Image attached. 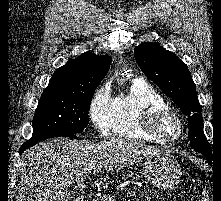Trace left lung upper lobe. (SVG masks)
Masks as SVG:
<instances>
[{"label": "left lung upper lobe", "mask_w": 221, "mask_h": 201, "mask_svg": "<svg viewBox=\"0 0 221 201\" xmlns=\"http://www.w3.org/2000/svg\"><path fill=\"white\" fill-rule=\"evenodd\" d=\"M135 59L143 73L188 115L191 147L212 157V149L202 127L201 106L187 65L159 43L146 42L134 49Z\"/></svg>", "instance_id": "obj_1"}]
</instances>
